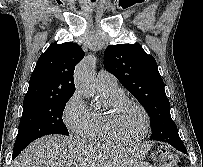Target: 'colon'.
Returning <instances> with one entry per match:
<instances>
[{
  "label": "colon",
  "mask_w": 203,
  "mask_h": 167,
  "mask_svg": "<svg viewBox=\"0 0 203 167\" xmlns=\"http://www.w3.org/2000/svg\"><path fill=\"white\" fill-rule=\"evenodd\" d=\"M157 164L158 167H178L175 156L166 150L157 153Z\"/></svg>",
  "instance_id": "1"
}]
</instances>
